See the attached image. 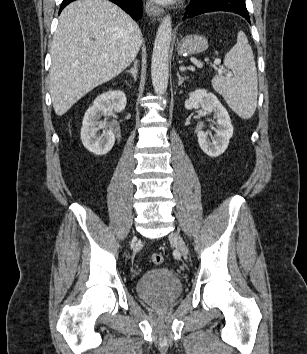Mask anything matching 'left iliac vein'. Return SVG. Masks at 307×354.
I'll use <instances>...</instances> for the list:
<instances>
[{
	"label": "left iliac vein",
	"instance_id": "4c4485c4",
	"mask_svg": "<svg viewBox=\"0 0 307 354\" xmlns=\"http://www.w3.org/2000/svg\"><path fill=\"white\" fill-rule=\"evenodd\" d=\"M169 239L175 245V247L182 253L184 257L188 255V248L178 232H172L169 235Z\"/></svg>",
	"mask_w": 307,
	"mask_h": 354
}]
</instances>
